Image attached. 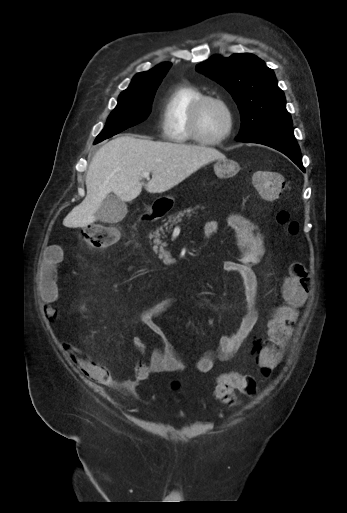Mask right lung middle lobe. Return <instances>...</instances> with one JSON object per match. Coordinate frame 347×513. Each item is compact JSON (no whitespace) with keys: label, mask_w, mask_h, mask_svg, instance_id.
<instances>
[{"label":"right lung middle lobe","mask_w":347,"mask_h":513,"mask_svg":"<svg viewBox=\"0 0 347 513\" xmlns=\"http://www.w3.org/2000/svg\"><path fill=\"white\" fill-rule=\"evenodd\" d=\"M160 83L161 81L153 82L138 89L123 91L116 108L94 144L144 121L151 112L152 102Z\"/></svg>","instance_id":"obj_1"}]
</instances>
